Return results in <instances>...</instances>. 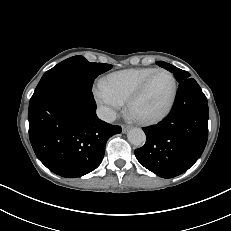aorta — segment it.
Here are the masks:
<instances>
[{"label":"aorta","instance_id":"aorta-1","mask_svg":"<svg viewBox=\"0 0 231 231\" xmlns=\"http://www.w3.org/2000/svg\"><path fill=\"white\" fill-rule=\"evenodd\" d=\"M128 141L135 146H142L146 141V135L140 128L131 129L128 134Z\"/></svg>","mask_w":231,"mask_h":231}]
</instances>
